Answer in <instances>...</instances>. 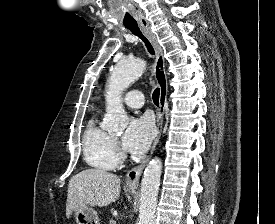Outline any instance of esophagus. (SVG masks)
<instances>
[{"label":"esophagus","mask_w":275,"mask_h":224,"mask_svg":"<svg viewBox=\"0 0 275 224\" xmlns=\"http://www.w3.org/2000/svg\"><path fill=\"white\" fill-rule=\"evenodd\" d=\"M140 29L144 34V36L150 41L156 53V59L154 63V75L160 89L159 111L157 114V121H156L157 135L154 139L149 155L138 166L132 168L126 174L125 185L129 188L138 187L140 176L160 140L161 132H162V124H163V115L167 104V94H168V83H167V76L165 72L163 49L160 46L156 35L151 31L149 23L146 20L140 22Z\"/></svg>","instance_id":"esophagus-1"}]
</instances>
